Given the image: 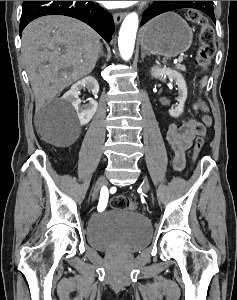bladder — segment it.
Instances as JSON below:
<instances>
[{"instance_id": "31cf9c89", "label": "bladder", "mask_w": 237, "mask_h": 300, "mask_svg": "<svg viewBox=\"0 0 237 300\" xmlns=\"http://www.w3.org/2000/svg\"><path fill=\"white\" fill-rule=\"evenodd\" d=\"M86 238L98 250L135 252L150 243L152 227L139 213L110 210L94 214L88 220Z\"/></svg>"}]
</instances>
